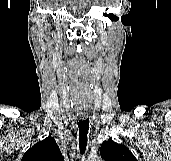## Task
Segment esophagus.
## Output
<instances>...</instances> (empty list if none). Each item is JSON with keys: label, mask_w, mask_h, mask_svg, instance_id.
I'll use <instances>...</instances> for the list:
<instances>
[{"label": "esophagus", "mask_w": 171, "mask_h": 161, "mask_svg": "<svg viewBox=\"0 0 171 161\" xmlns=\"http://www.w3.org/2000/svg\"><path fill=\"white\" fill-rule=\"evenodd\" d=\"M80 116H81L82 118H86V117H87V113L81 112V113H80Z\"/></svg>", "instance_id": "34e87169"}]
</instances>
